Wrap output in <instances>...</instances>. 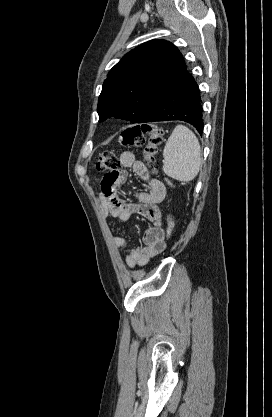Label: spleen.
I'll return each instance as SVG.
<instances>
[{
    "label": "spleen",
    "mask_w": 272,
    "mask_h": 417,
    "mask_svg": "<svg viewBox=\"0 0 272 417\" xmlns=\"http://www.w3.org/2000/svg\"><path fill=\"white\" fill-rule=\"evenodd\" d=\"M163 171L169 177L189 182L201 167L202 154L198 138L184 125H177L163 150Z\"/></svg>",
    "instance_id": "obj_1"
}]
</instances>
